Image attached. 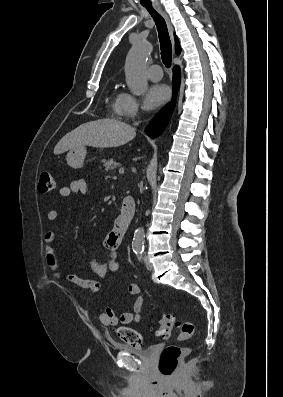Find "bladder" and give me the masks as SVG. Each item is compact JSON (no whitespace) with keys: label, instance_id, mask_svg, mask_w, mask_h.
<instances>
[{"label":"bladder","instance_id":"1","mask_svg":"<svg viewBox=\"0 0 283 397\" xmlns=\"http://www.w3.org/2000/svg\"><path fill=\"white\" fill-rule=\"evenodd\" d=\"M118 349L125 351L127 353L133 354L137 357H139L142 360L150 361L152 360L158 350V345L153 344L144 348H137V347H132L129 345L125 344H117L116 345Z\"/></svg>","mask_w":283,"mask_h":397}]
</instances>
